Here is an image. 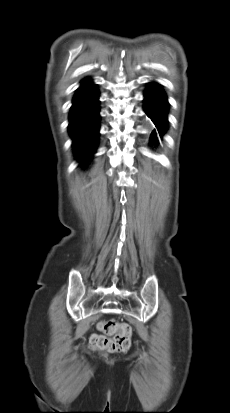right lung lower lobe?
I'll return each instance as SVG.
<instances>
[{"label":"right lung lower lobe","mask_w":230,"mask_h":413,"mask_svg":"<svg viewBox=\"0 0 230 413\" xmlns=\"http://www.w3.org/2000/svg\"><path fill=\"white\" fill-rule=\"evenodd\" d=\"M99 91L90 79H84L76 91L69 114L68 131L76 158L86 164L99 140Z\"/></svg>","instance_id":"1"}]
</instances>
